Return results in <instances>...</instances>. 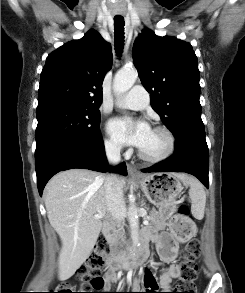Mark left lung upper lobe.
Here are the masks:
<instances>
[{"label":"left lung upper lobe","mask_w":245,"mask_h":293,"mask_svg":"<svg viewBox=\"0 0 245 293\" xmlns=\"http://www.w3.org/2000/svg\"><path fill=\"white\" fill-rule=\"evenodd\" d=\"M132 55L152 108L173 135L205 136L198 63L192 46L145 29L136 39Z\"/></svg>","instance_id":"5c2ea615"}]
</instances>
